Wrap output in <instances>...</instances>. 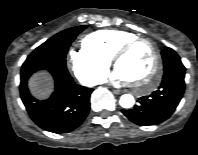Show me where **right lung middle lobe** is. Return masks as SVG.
I'll return each instance as SVG.
<instances>
[{"mask_svg":"<svg viewBox=\"0 0 198 155\" xmlns=\"http://www.w3.org/2000/svg\"><path fill=\"white\" fill-rule=\"evenodd\" d=\"M85 28L86 26L73 27L56 34L37 47L27 57L24 63H29L34 60H50L65 63L66 54L70 44Z\"/></svg>","mask_w":198,"mask_h":155,"instance_id":"1","label":"right lung middle lobe"}]
</instances>
